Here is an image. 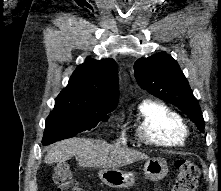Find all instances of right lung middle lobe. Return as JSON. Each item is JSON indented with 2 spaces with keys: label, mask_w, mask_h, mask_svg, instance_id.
I'll use <instances>...</instances> for the list:
<instances>
[{
  "label": "right lung middle lobe",
  "mask_w": 221,
  "mask_h": 191,
  "mask_svg": "<svg viewBox=\"0 0 221 191\" xmlns=\"http://www.w3.org/2000/svg\"><path fill=\"white\" fill-rule=\"evenodd\" d=\"M108 113L97 110L54 107L46 119L43 145L75 136L77 133L90 130L108 119Z\"/></svg>",
  "instance_id": "obj_1"
}]
</instances>
